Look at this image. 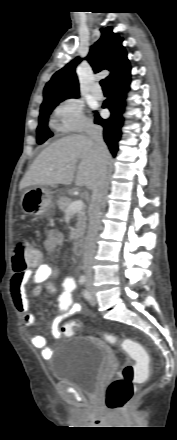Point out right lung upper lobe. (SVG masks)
I'll return each instance as SVG.
<instances>
[{"mask_svg": "<svg viewBox=\"0 0 177 440\" xmlns=\"http://www.w3.org/2000/svg\"><path fill=\"white\" fill-rule=\"evenodd\" d=\"M100 32V39L91 46L85 59L95 73L104 69L109 70L110 75L106 78L109 82L130 64L126 50L122 46L123 38L114 33L112 27L101 28ZM81 61V58H75L52 76L44 87L42 104L79 97V82L75 68Z\"/></svg>", "mask_w": 177, "mask_h": 440, "instance_id": "cb5924a9", "label": "right lung upper lobe"}]
</instances>
